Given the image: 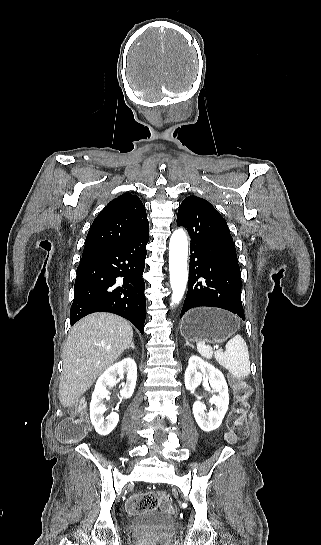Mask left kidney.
Wrapping results in <instances>:
<instances>
[{"label": "left kidney", "instance_id": "1", "mask_svg": "<svg viewBox=\"0 0 321 545\" xmlns=\"http://www.w3.org/2000/svg\"><path fill=\"white\" fill-rule=\"evenodd\" d=\"M200 371V373H199ZM202 377L208 379L210 387L219 395H213L210 403L215 405L214 411L205 413L206 407L201 401H195L193 405V415L197 425L202 431L210 433L220 427L229 405V393L227 383L219 369H215L210 363H205L200 357L192 355L189 359L188 367L185 371L184 383L187 391H195L202 383Z\"/></svg>", "mask_w": 321, "mask_h": 545}]
</instances>
